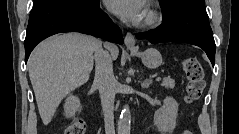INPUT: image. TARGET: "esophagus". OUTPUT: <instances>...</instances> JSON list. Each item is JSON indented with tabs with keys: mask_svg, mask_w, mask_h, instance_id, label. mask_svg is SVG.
<instances>
[{
	"mask_svg": "<svg viewBox=\"0 0 239 134\" xmlns=\"http://www.w3.org/2000/svg\"><path fill=\"white\" fill-rule=\"evenodd\" d=\"M124 42H125V46H126L128 49H134V48H136V41H135L134 36H133L131 33L128 32V33L125 35Z\"/></svg>",
	"mask_w": 239,
	"mask_h": 134,
	"instance_id": "34e87169",
	"label": "esophagus"
}]
</instances>
